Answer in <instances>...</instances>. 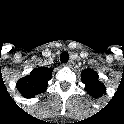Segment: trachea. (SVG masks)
<instances>
[{
    "label": "trachea",
    "mask_w": 124,
    "mask_h": 124,
    "mask_svg": "<svg viewBox=\"0 0 124 124\" xmlns=\"http://www.w3.org/2000/svg\"><path fill=\"white\" fill-rule=\"evenodd\" d=\"M68 60H69V54H68V52L63 51V52L61 53V55H60V61H61L62 63H67Z\"/></svg>",
    "instance_id": "trachea-1"
}]
</instances>
